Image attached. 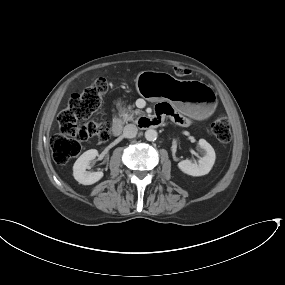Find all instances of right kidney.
<instances>
[{"mask_svg": "<svg viewBox=\"0 0 285 285\" xmlns=\"http://www.w3.org/2000/svg\"><path fill=\"white\" fill-rule=\"evenodd\" d=\"M98 156L96 149H90L84 152L74 163L73 176L76 181L83 185H91L99 181L103 177V172H88L90 161Z\"/></svg>", "mask_w": 285, "mask_h": 285, "instance_id": "ca27d5eb", "label": "right kidney"}]
</instances>
